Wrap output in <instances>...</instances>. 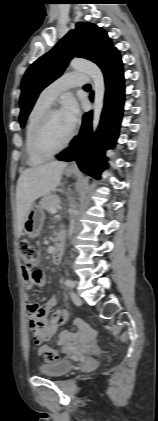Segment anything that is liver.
I'll return each instance as SVG.
<instances>
[{"instance_id": "liver-1", "label": "liver", "mask_w": 158, "mask_h": 421, "mask_svg": "<svg viewBox=\"0 0 158 421\" xmlns=\"http://www.w3.org/2000/svg\"><path fill=\"white\" fill-rule=\"evenodd\" d=\"M66 162H51L24 170L17 182V231L23 230L25 216L35 200L55 191L60 183Z\"/></svg>"}]
</instances>
